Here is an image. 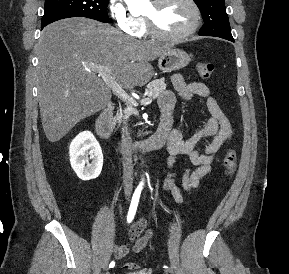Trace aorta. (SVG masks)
I'll use <instances>...</instances> for the list:
<instances>
[{
  "label": "aorta",
  "instance_id": "762f6f07",
  "mask_svg": "<svg viewBox=\"0 0 289 274\" xmlns=\"http://www.w3.org/2000/svg\"><path fill=\"white\" fill-rule=\"evenodd\" d=\"M129 7L139 9L145 5L148 0H124Z\"/></svg>",
  "mask_w": 289,
  "mask_h": 274
}]
</instances>
